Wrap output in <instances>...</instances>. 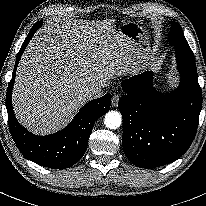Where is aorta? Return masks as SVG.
Returning <instances> with one entry per match:
<instances>
[{
	"label": "aorta",
	"mask_w": 206,
	"mask_h": 206,
	"mask_svg": "<svg viewBox=\"0 0 206 206\" xmlns=\"http://www.w3.org/2000/svg\"><path fill=\"white\" fill-rule=\"evenodd\" d=\"M122 117L117 111H109L105 115L104 124L109 129H117L121 125Z\"/></svg>",
	"instance_id": "obj_1"
}]
</instances>
